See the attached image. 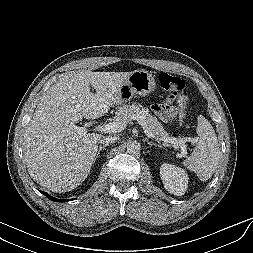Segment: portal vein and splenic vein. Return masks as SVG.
<instances>
[{
    "instance_id": "portal-vein-and-splenic-vein-1",
    "label": "portal vein and splenic vein",
    "mask_w": 253,
    "mask_h": 253,
    "mask_svg": "<svg viewBox=\"0 0 253 253\" xmlns=\"http://www.w3.org/2000/svg\"><path fill=\"white\" fill-rule=\"evenodd\" d=\"M133 119L137 120L138 124L143 127L144 133L146 134L147 137L156 138V136L153 135L152 132L150 131V129L147 127L146 123L144 122V120L141 116H139V115L133 116ZM125 128H126V123H124V122H112V123L97 126L96 130L101 131V132H106V133H108V132L109 133H117V132L123 131ZM75 129L79 135H83L87 132L86 127H77L76 126ZM160 140L164 141L166 143H171L173 145L180 146L181 151H182L181 153L182 154L186 153L185 142L187 141V138L177 139L174 137H169L166 139L161 138Z\"/></svg>"
}]
</instances>
